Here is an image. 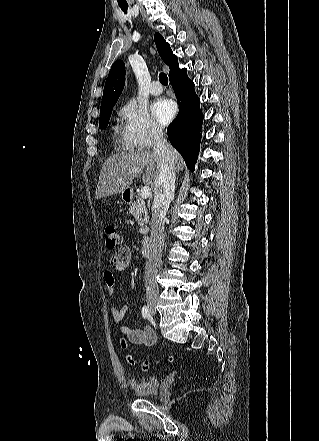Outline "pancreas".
<instances>
[{
    "mask_svg": "<svg viewBox=\"0 0 319 441\" xmlns=\"http://www.w3.org/2000/svg\"><path fill=\"white\" fill-rule=\"evenodd\" d=\"M129 213L133 215L134 219L140 225V233L146 235L148 233V222L149 218L147 216V208L145 202L142 198H139L136 202L132 203L129 208ZM145 215V217H143Z\"/></svg>",
    "mask_w": 319,
    "mask_h": 441,
    "instance_id": "pancreas-1",
    "label": "pancreas"
}]
</instances>
